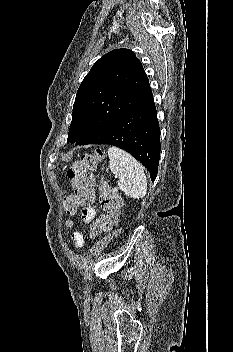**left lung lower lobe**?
<instances>
[{"label":"left lung lower lobe","instance_id":"obj_1","mask_svg":"<svg viewBox=\"0 0 233 352\" xmlns=\"http://www.w3.org/2000/svg\"><path fill=\"white\" fill-rule=\"evenodd\" d=\"M89 144H110L127 151L148 169L154 181L160 159V129L153 95L122 115Z\"/></svg>","mask_w":233,"mask_h":352}]
</instances>
